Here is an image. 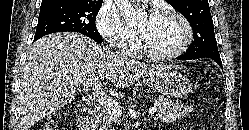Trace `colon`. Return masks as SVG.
<instances>
[{
	"instance_id": "colon-1",
	"label": "colon",
	"mask_w": 249,
	"mask_h": 130,
	"mask_svg": "<svg viewBox=\"0 0 249 130\" xmlns=\"http://www.w3.org/2000/svg\"><path fill=\"white\" fill-rule=\"evenodd\" d=\"M41 130H59V116L53 115L49 117Z\"/></svg>"
}]
</instances>
